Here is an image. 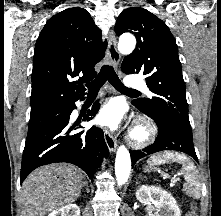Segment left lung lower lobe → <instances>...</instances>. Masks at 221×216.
<instances>
[{"label": "left lung lower lobe", "mask_w": 221, "mask_h": 216, "mask_svg": "<svg viewBox=\"0 0 221 216\" xmlns=\"http://www.w3.org/2000/svg\"><path fill=\"white\" fill-rule=\"evenodd\" d=\"M133 104L135 105V103ZM153 120L158 126L157 138L152 145L146 147L143 150H130L132 165H134L137 160L147 155L164 150H174L186 153L198 162L192 141L191 130L171 120H158L154 118Z\"/></svg>", "instance_id": "obj_1"}]
</instances>
